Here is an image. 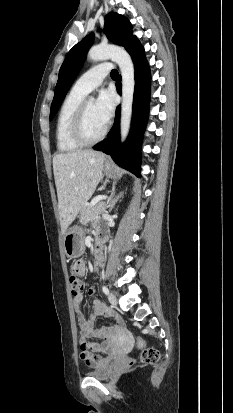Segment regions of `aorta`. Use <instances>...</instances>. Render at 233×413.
Wrapping results in <instances>:
<instances>
[{"label":"aorta","mask_w":233,"mask_h":413,"mask_svg":"<svg viewBox=\"0 0 233 413\" xmlns=\"http://www.w3.org/2000/svg\"><path fill=\"white\" fill-rule=\"evenodd\" d=\"M88 58L92 61L111 59L120 68L122 76V103L120 134L124 141L130 129L132 118V105L135 87L134 65L130 55L123 49L113 45H98L91 47L88 51ZM93 97L90 101H93Z\"/></svg>","instance_id":"aorta-1"}]
</instances>
